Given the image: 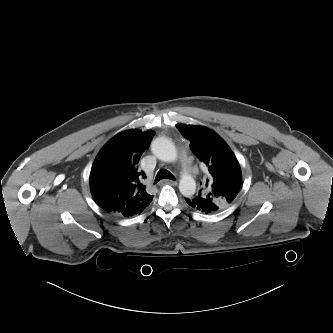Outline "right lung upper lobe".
Wrapping results in <instances>:
<instances>
[{"mask_svg": "<svg viewBox=\"0 0 333 333\" xmlns=\"http://www.w3.org/2000/svg\"><path fill=\"white\" fill-rule=\"evenodd\" d=\"M154 134L151 130L122 131L98 153L90 172V190L105 212L130 217L152 201L141 183L145 175L138 170V162Z\"/></svg>", "mask_w": 333, "mask_h": 333, "instance_id": "obj_1", "label": "right lung upper lobe"}]
</instances>
